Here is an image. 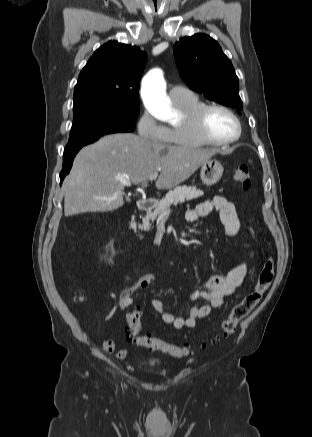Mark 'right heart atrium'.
Masks as SVG:
<instances>
[{"instance_id": "obj_1", "label": "right heart atrium", "mask_w": 312, "mask_h": 437, "mask_svg": "<svg viewBox=\"0 0 312 437\" xmlns=\"http://www.w3.org/2000/svg\"><path fill=\"white\" fill-rule=\"evenodd\" d=\"M138 134L141 138L152 142H165L168 129L147 110L143 111L137 122Z\"/></svg>"}]
</instances>
